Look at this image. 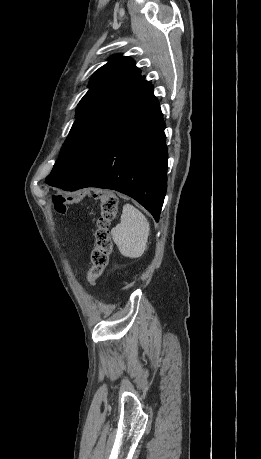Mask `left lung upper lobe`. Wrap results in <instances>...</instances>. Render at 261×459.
Returning <instances> with one entry per match:
<instances>
[{"instance_id":"5c2ea615","label":"left lung upper lobe","mask_w":261,"mask_h":459,"mask_svg":"<svg viewBox=\"0 0 261 459\" xmlns=\"http://www.w3.org/2000/svg\"><path fill=\"white\" fill-rule=\"evenodd\" d=\"M152 94V84L131 58L113 56L92 75L46 183L57 187L93 158Z\"/></svg>"}]
</instances>
